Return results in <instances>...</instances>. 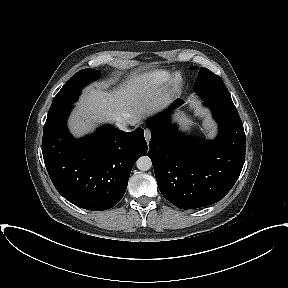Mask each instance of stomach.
<instances>
[{"label": "stomach", "instance_id": "0dacf381", "mask_svg": "<svg viewBox=\"0 0 288 288\" xmlns=\"http://www.w3.org/2000/svg\"><path fill=\"white\" fill-rule=\"evenodd\" d=\"M179 121L182 123L183 126H186L190 123V120L184 114L179 116Z\"/></svg>", "mask_w": 288, "mask_h": 288}]
</instances>
